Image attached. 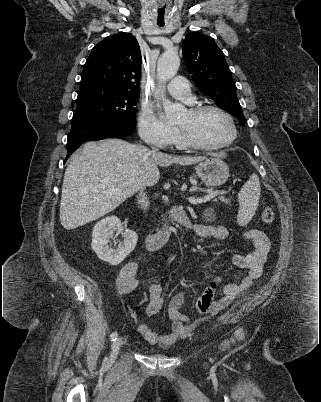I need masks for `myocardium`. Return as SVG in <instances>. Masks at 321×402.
<instances>
[{"mask_svg": "<svg viewBox=\"0 0 321 402\" xmlns=\"http://www.w3.org/2000/svg\"><path fill=\"white\" fill-rule=\"evenodd\" d=\"M206 110H215V111L219 112L220 114H222L230 124L231 135L226 140H224L220 143L205 144V143H202V142L198 141L197 139H195L185 129L177 126V130L179 132V135H180L183 143L187 147L204 150V151L218 150V149H222V148H225V147L231 145L236 140L237 134H238L237 126H236V123H235L232 115L228 111H226L225 109H223L222 107H220L216 104H201V105H194V106H191L188 108V112H190L191 114H199Z\"/></svg>", "mask_w": 321, "mask_h": 402, "instance_id": "myocardium-1", "label": "myocardium"}]
</instances>
